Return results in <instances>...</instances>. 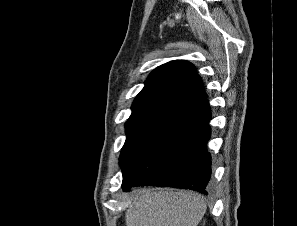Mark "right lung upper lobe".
I'll list each match as a JSON object with an SVG mask.
<instances>
[{"label": "right lung upper lobe", "mask_w": 297, "mask_h": 226, "mask_svg": "<svg viewBox=\"0 0 297 226\" xmlns=\"http://www.w3.org/2000/svg\"><path fill=\"white\" fill-rule=\"evenodd\" d=\"M206 99L201 78L195 67L175 60L157 67L145 82L132 105L128 121L143 118L170 119Z\"/></svg>", "instance_id": "cb5924a9"}]
</instances>
